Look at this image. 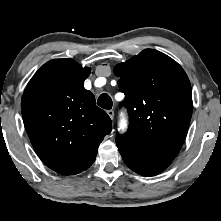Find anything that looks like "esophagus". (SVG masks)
I'll use <instances>...</instances> for the list:
<instances>
[{
  "instance_id": "obj_1",
  "label": "esophagus",
  "mask_w": 221,
  "mask_h": 221,
  "mask_svg": "<svg viewBox=\"0 0 221 221\" xmlns=\"http://www.w3.org/2000/svg\"><path fill=\"white\" fill-rule=\"evenodd\" d=\"M108 116L113 119L114 118V111L113 110H108L107 111Z\"/></svg>"
}]
</instances>
